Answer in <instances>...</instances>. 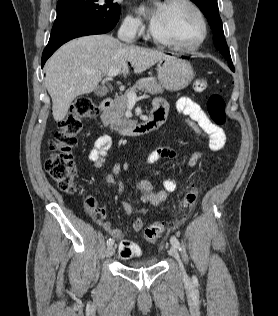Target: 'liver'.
<instances>
[{
  "instance_id": "6515ba94",
  "label": "liver",
  "mask_w": 278,
  "mask_h": 316,
  "mask_svg": "<svg viewBox=\"0 0 278 316\" xmlns=\"http://www.w3.org/2000/svg\"><path fill=\"white\" fill-rule=\"evenodd\" d=\"M165 57L161 51L124 44L111 35H89L69 41L52 55L45 69L55 121L65 118L76 97L96 89L108 71L120 69L126 77L128 63L138 74Z\"/></svg>"
}]
</instances>
